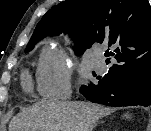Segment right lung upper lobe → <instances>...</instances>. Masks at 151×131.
<instances>
[{
  "mask_svg": "<svg viewBox=\"0 0 151 131\" xmlns=\"http://www.w3.org/2000/svg\"><path fill=\"white\" fill-rule=\"evenodd\" d=\"M72 35L76 53L93 43L113 46L112 71L151 68V7L147 0H66L37 24L28 45L47 35Z\"/></svg>",
  "mask_w": 151,
  "mask_h": 131,
  "instance_id": "cb5924a9",
  "label": "right lung upper lobe"
}]
</instances>
